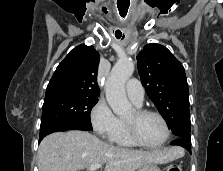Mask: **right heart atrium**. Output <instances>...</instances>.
I'll use <instances>...</instances> for the list:
<instances>
[{
  "instance_id": "d8ad5b80",
  "label": "right heart atrium",
  "mask_w": 223,
  "mask_h": 171,
  "mask_svg": "<svg viewBox=\"0 0 223 171\" xmlns=\"http://www.w3.org/2000/svg\"><path fill=\"white\" fill-rule=\"evenodd\" d=\"M90 122L95 134L108 141L114 138L120 126V120L103 99H99L92 107Z\"/></svg>"
}]
</instances>
